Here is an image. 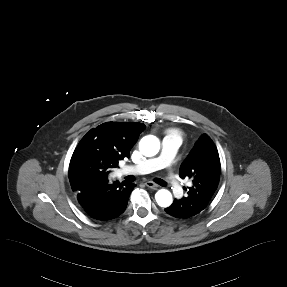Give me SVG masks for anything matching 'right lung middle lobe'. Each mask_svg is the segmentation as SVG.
<instances>
[{
	"instance_id": "1",
	"label": "right lung middle lobe",
	"mask_w": 287,
	"mask_h": 287,
	"mask_svg": "<svg viewBox=\"0 0 287 287\" xmlns=\"http://www.w3.org/2000/svg\"><path fill=\"white\" fill-rule=\"evenodd\" d=\"M114 168L111 161L100 158H82L69 167V180L87 181L95 178H107L109 170Z\"/></svg>"
}]
</instances>
